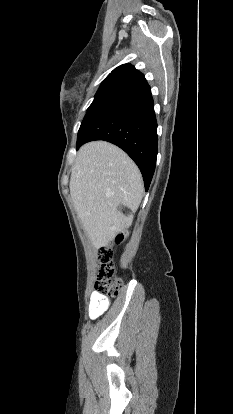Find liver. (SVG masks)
<instances>
[{
    "instance_id": "liver-1",
    "label": "liver",
    "mask_w": 233,
    "mask_h": 414,
    "mask_svg": "<svg viewBox=\"0 0 233 414\" xmlns=\"http://www.w3.org/2000/svg\"><path fill=\"white\" fill-rule=\"evenodd\" d=\"M70 194L83 228L95 247L106 246L123 232L143 197V180L135 163L117 146L105 141L84 144L70 178Z\"/></svg>"
}]
</instances>
